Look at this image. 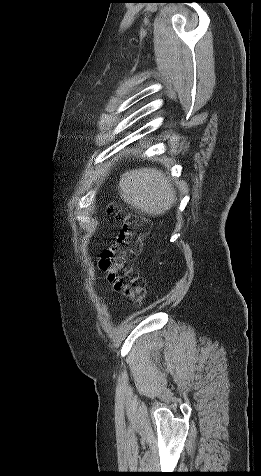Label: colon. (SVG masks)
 Listing matches in <instances>:
<instances>
[{
	"label": "colon",
	"instance_id": "5ec220e1",
	"mask_svg": "<svg viewBox=\"0 0 261 476\" xmlns=\"http://www.w3.org/2000/svg\"><path fill=\"white\" fill-rule=\"evenodd\" d=\"M119 231L101 252L99 268L106 273L116 292L122 293L130 302L141 304L145 298V287L133 263L139 255L142 240L149 232L148 221L115 206L109 207Z\"/></svg>",
	"mask_w": 261,
	"mask_h": 476
}]
</instances>
